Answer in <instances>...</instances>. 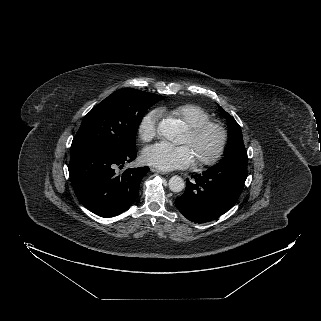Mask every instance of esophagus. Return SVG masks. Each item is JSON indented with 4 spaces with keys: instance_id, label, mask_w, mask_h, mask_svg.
Segmentation results:
<instances>
[{
    "instance_id": "obj_1",
    "label": "esophagus",
    "mask_w": 321,
    "mask_h": 321,
    "mask_svg": "<svg viewBox=\"0 0 321 321\" xmlns=\"http://www.w3.org/2000/svg\"><path fill=\"white\" fill-rule=\"evenodd\" d=\"M151 171L154 172V173L161 174V175H168V173H166L164 171H161V170H158L156 168H151Z\"/></svg>"
}]
</instances>
